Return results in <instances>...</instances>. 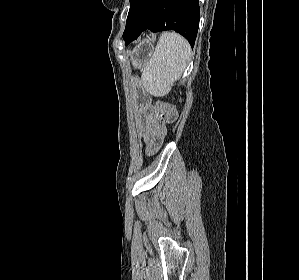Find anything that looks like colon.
Wrapping results in <instances>:
<instances>
[{"label":"colon","instance_id":"colon-1","mask_svg":"<svg viewBox=\"0 0 299 280\" xmlns=\"http://www.w3.org/2000/svg\"><path fill=\"white\" fill-rule=\"evenodd\" d=\"M163 108V114L161 115V120L164 122H173L176 119L175 108L167 103L161 104Z\"/></svg>","mask_w":299,"mask_h":280}]
</instances>
